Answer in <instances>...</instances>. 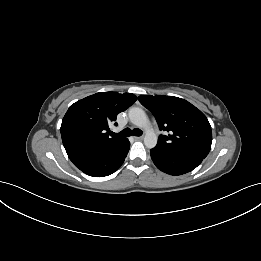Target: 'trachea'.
I'll list each match as a JSON object with an SVG mask.
<instances>
[{"label":"trachea","instance_id":"3493384b","mask_svg":"<svg viewBox=\"0 0 261 261\" xmlns=\"http://www.w3.org/2000/svg\"><path fill=\"white\" fill-rule=\"evenodd\" d=\"M142 131L140 129H133L131 130L130 128H125L124 130H122L120 133L116 134V133H113V136H119V137H129L131 135H134V136H141L142 135Z\"/></svg>","mask_w":261,"mask_h":261}]
</instances>
